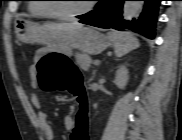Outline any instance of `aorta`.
Here are the masks:
<instances>
[{
  "mask_svg": "<svg viewBox=\"0 0 182 140\" xmlns=\"http://www.w3.org/2000/svg\"><path fill=\"white\" fill-rule=\"evenodd\" d=\"M142 5L143 1H125L123 7V18L126 20H131L138 14Z\"/></svg>",
  "mask_w": 182,
  "mask_h": 140,
  "instance_id": "762f6f07",
  "label": "aorta"
}]
</instances>
